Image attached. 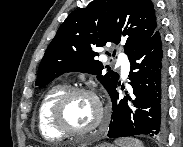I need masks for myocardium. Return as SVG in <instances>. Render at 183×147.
Masks as SVG:
<instances>
[{
  "label": "myocardium",
  "instance_id": "myocardium-1",
  "mask_svg": "<svg viewBox=\"0 0 183 147\" xmlns=\"http://www.w3.org/2000/svg\"><path fill=\"white\" fill-rule=\"evenodd\" d=\"M77 95L89 96L95 103L97 108V117L95 122L86 129L76 130L69 126L65 118V108L67 103ZM106 116L103 102L99 96L91 89L83 87H75L66 90L56 101L52 109V123L54 127L65 135L83 136L95 131L104 121Z\"/></svg>",
  "mask_w": 183,
  "mask_h": 147
}]
</instances>
